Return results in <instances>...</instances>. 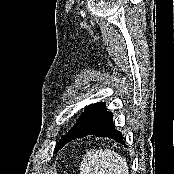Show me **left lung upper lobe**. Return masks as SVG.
I'll return each instance as SVG.
<instances>
[{
    "label": "left lung upper lobe",
    "instance_id": "obj_1",
    "mask_svg": "<svg viewBox=\"0 0 175 174\" xmlns=\"http://www.w3.org/2000/svg\"><path fill=\"white\" fill-rule=\"evenodd\" d=\"M62 147H63V138L57 143V145L55 147V152L60 150Z\"/></svg>",
    "mask_w": 175,
    "mask_h": 174
}]
</instances>
